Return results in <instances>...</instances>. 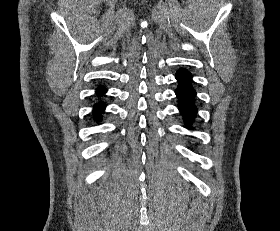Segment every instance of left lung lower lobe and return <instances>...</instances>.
<instances>
[{
	"label": "left lung lower lobe",
	"mask_w": 280,
	"mask_h": 231,
	"mask_svg": "<svg viewBox=\"0 0 280 231\" xmlns=\"http://www.w3.org/2000/svg\"><path fill=\"white\" fill-rule=\"evenodd\" d=\"M176 79L179 81V86L176 89V95L179 103L178 107L184 117L185 124L191 128L197 108L194 106L195 90L192 88V75L186 69H180L176 73Z\"/></svg>",
	"instance_id": "0a47b994"
}]
</instances>
